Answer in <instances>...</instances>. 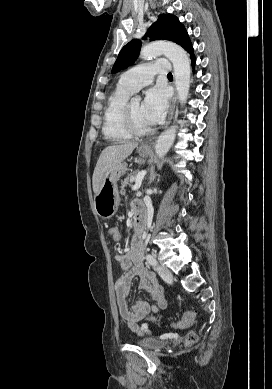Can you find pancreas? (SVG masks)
<instances>
[{
	"label": "pancreas",
	"mask_w": 272,
	"mask_h": 389,
	"mask_svg": "<svg viewBox=\"0 0 272 389\" xmlns=\"http://www.w3.org/2000/svg\"><path fill=\"white\" fill-rule=\"evenodd\" d=\"M135 175L134 174H129L125 180L121 183V190L124 191V188L127 186V185H130L131 183H133L135 181Z\"/></svg>",
	"instance_id": "obj_1"
}]
</instances>
